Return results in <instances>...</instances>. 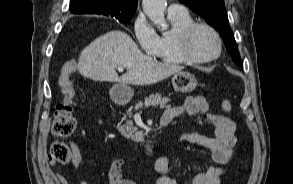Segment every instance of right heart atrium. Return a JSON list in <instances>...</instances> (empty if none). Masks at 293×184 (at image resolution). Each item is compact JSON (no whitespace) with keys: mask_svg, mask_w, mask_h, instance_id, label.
I'll use <instances>...</instances> for the list:
<instances>
[{"mask_svg":"<svg viewBox=\"0 0 293 184\" xmlns=\"http://www.w3.org/2000/svg\"><path fill=\"white\" fill-rule=\"evenodd\" d=\"M132 30L140 48L146 54L153 56L158 46L159 36L143 13L135 17Z\"/></svg>","mask_w":293,"mask_h":184,"instance_id":"obj_1","label":"right heart atrium"}]
</instances>
